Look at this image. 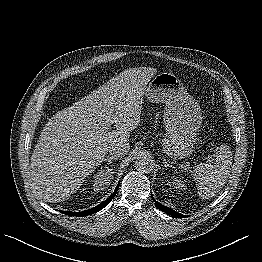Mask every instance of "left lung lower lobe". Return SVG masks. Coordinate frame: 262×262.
I'll return each instance as SVG.
<instances>
[{
  "instance_id": "obj_1",
  "label": "left lung lower lobe",
  "mask_w": 262,
  "mask_h": 262,
  "mask_svg": "<svg viewBox=\"0 0 262 262\" xmlns=\"http://www.w3.org/2000/svg\"><path fill=\"white\" fill-rule=\"evenodd\" d=\"M152 198H153V197H152ZM153 200H154V198H153ZM154 201H155V200H154ZM155 206H156L158 209H160L161 211H163V212L171 215L172 217H175V218H184V217H187V216H185V215H182V214H180V213L172 210L171 208H168V207H166V206L161 205V204L158 203L157 201H155Z\"/></svg>"
}]
</instances>
